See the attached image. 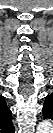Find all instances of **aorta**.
<instances>
[{"label":"aorta","mask_w":53,"mask_h":133,"mask_svg":"<svg viewBox=\"0 0 53 133\" xmlns=\"http://www.w3.org/2000/svg\"><path fill=\"white\" fill-rule=\"evenodd\" d=\"M45 127V124L44 123H42L39 127H38V132H41L42 131V129Z\"/></svg>","instance_id":"1"}]
</instances>
